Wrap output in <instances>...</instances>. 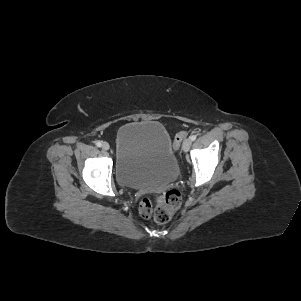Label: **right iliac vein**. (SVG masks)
<instances>
[{
	"instance_id": "63e3f726",
	"label": "right iliac vein",
	"mask_w": 301,
	"mask_h": 301,
	"mask_svg": "<svg viewBox=\"0 0 301 301\" xmlns=\"http://www.w3.org/2000/svg\"><path fill=\"white\" fill-rule=\"evenodd\" d=\"M109 148H110V146H109V144H108L107 142H103V143H102V149H103V150H106V151H107V150H109Z\"/></svg>"
}]
</instances>
